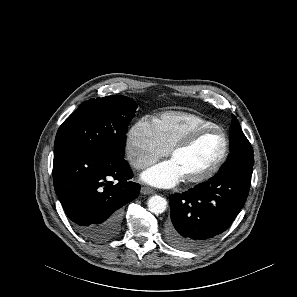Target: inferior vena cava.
<instances>
[{
    "label": "inferior vena cava",
    "mask_w": 297,
    "mask_h": 297,
    "mask_svg": "<svg viewBox=\"0 0 297 297\" xmlns=\"http://www.w3.org/2000/svg\"><path fill=\"white\" fill-rule=\"evenodd\" d=\"M147 166H148V163L142 162V161L137 162V163L134 164V167H136L137 169H142V168H145Z\"/></svg>",
    "instance_id": "inferior-vena-cava-1"
}]
</instances>
